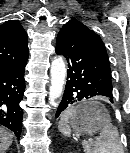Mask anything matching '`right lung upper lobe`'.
I'll list each match as a JSON object with an SVG mask.
<instances>
[{
  "label": "right lung upper lobe",
  "instance_id": "right-lung-upper-lobe-1",
  "mask_svg": "<svg viewBox=\"0 0 130 153\" xmlns=\"http://www.w3.org/2000/svg\"><path fill=\"white\" fill-rule=\"evenodd\" d=\"M27 33L9 20L0 26V69L23 64L28 59Z\"/></svg>",
  "mask_w": 130,
  "mask_h": 153
}]
</instances>
